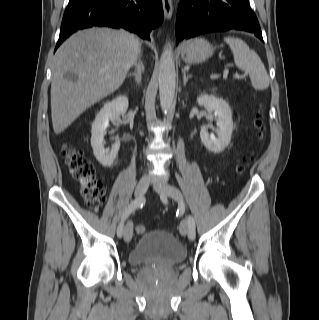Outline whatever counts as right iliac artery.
<instances>
[{
	"label": "right iliac artery",
	"mask_w": 319,
	"mask_h": 320,
	"mask_svg": "<svg viewBox=\"0 0 319 320\" xmlns=\"http://www.w3.org/2000/svg\"><path fill=\"white\" fill-rule=\"evenodd\" d=\"M145 203V198L144 197H140V198H136L135 200H133L128 207L124 210L123 214H122V218H121V222L117 228V236L119 238L122 237L123 232H124V221L130 216V214H132L136 209L142 207Z\"/></svg>",
	"instance_id": "right-iliac-artery-1"
}]
</instances>
